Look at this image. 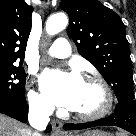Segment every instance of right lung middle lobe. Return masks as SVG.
Masks as SVG:
<instances>
[{"label":"right lung middle lobe","instance_id":"obj_1","mask_svg":"<svg viewBox=\"0 0 136 136\" xmlns=\"http://www.w3.org/2000/svg\"><path fill=\"white\" fill-rule=\"evenodd\" d=\"M25 79L23 68L13 63L0 64V100L24 98Z\"/></svg>","mask_w":136,"mask_h":136}]
</instances>
